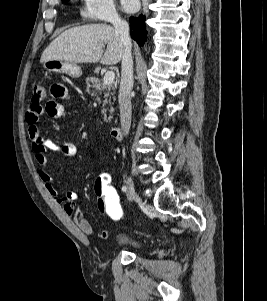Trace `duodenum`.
Masks as SVG:
<instances>
[{"mask_svg": "<svg viewBox=\"0 0 267 301\" xmlns=\"http://www.w3.org/2000/svg\"><path fill=\"white\" fill-rule=\"evenodd\" d=\"M122 134V129L119 126H114L110 130V135L113 139H119Z\"/></svg>", "mask_w": 267, "mask_h": 301, "instance_id": "duodenum-1", "label": "duodenum"}]
</instances>
